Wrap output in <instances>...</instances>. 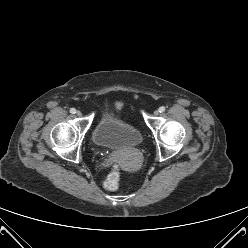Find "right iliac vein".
<instances>
[{
    "label": "right iliac vein",
    "instance_id": "obj_1",
    "mask_svg": "<svg viewBox=\"0 0 248 248\" xmlns=\"http://www.w3.org/2000/svg\"><path fill=\"white\" fill-rule=\"evenodd\" d=\"M76 115L79 116V117L82 116L81 111H76Z\"/></svg>",
    "mask_w": 248,
    "mask_h": 248
}]
</instances>
